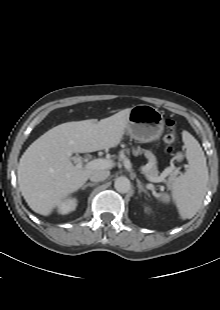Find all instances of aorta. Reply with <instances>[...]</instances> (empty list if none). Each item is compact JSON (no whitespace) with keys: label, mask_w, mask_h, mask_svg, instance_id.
<instances>
[{"label":"aorta","mask_w":220,"mask_h":310,"mask_svg":"<svg viewBox=\"0 0 220 310\" xmlns=\"http://www.w3.org/2000/svg\"><path fill=\"white\" fill-rule=\"evenodd\" d=\"M114 187L119 193H127L131 187L130 180L124 176L118 177L114 182Z\"/></svg>","instance_id":"762f6f07"}]
</instances>
